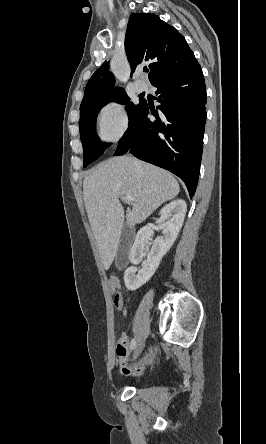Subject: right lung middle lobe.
<instances>
[{
    "instance_id": "right-lung-middle-lobe-1",
    "label": "right lung middle lobe",
    "mask_w": 266,
    "mask_h": 444,
    "mask_svg": "<svg viewBox=\"0 0 266 444\" xmlns=\"http://www.w3.org/2000/svg\"><path fill=\"white\" fill-rule=\"evenodd\" d=\"M130 98L123 89L115 90L91 101L85 102L80 106V137L83 145V167H86L91 162L99 158L105 151L108 145L102 143L95 130L96 117L99 110L110 101H116L121 104H126V110L129 117V123L139 114L143 101L139 104L128 102Z\"/></svg>"
}]
</instances>
